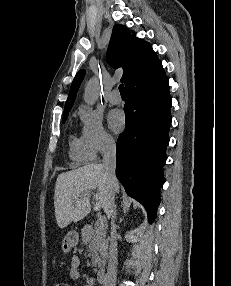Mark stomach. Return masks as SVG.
<instances>
[{
	"mask_svg": "<svg viewBox=\"0 0 231 286\" xmlns=\"http://www.w3.org/2000/svg\"><path fill=\"white\" fill-rule=\"evenodd\" d=\"M78 240L79 235L76 231L68 232L61 244L62 251L65 253L69 252L74 246L77 245Z\"/></svg>",
	"mask_w": 231,
	"mask_h": 286,
	"instance_id": "0dacf381",
	"label": "stomach"
}]
</instances>
